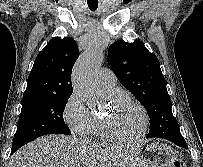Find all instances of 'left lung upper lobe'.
<instances>
[{
    "mask_svg": "<svg viewBox=\"0 0 203 167\" xmlns=\"http://www.w3.org/2000/svg\"><path fill=\"white\" fill-rule=\"evenodd\" d=\"M108 63L123 86L146 109L151 123L147 137L180 136V128L172 114L171 99L159 60L148 51L143 42L116 41L109 48Z\"/></svg>",
    "mask_w": 203,
    "mask_h": 167,
    "instance_id": "5c2ea615",
    "label": "left lung upper lobe"
}]
</instances>
